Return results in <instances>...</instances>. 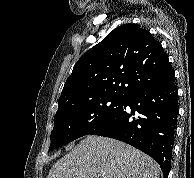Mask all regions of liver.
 <instances>
[{
    "mask_svg": "<svg viewBox=\"0 0 194 178\" xmlns=\"http://www.w3.org/2000/svg\"><path fill=\"white\" fill-rule=\"evenodd\" d=\"M47 178H160V168L126 143L88 135L53 165Z\"/></svg>",
    "mask_w": 194,
    "mask_h": 178,
    "instance_id": "6515ba94",
    "label": "liver"
}]
</instances>
